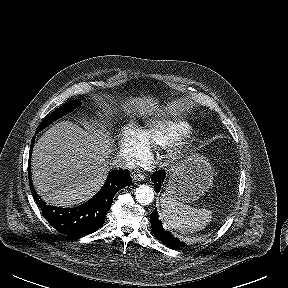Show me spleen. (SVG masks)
I'll use <instances>...</instances> for the list:
<instances>
[{"label": "spleen", "instance_id": "3e777b00", "mask_svg": "<svg viewBox=\"0 0 288 288\" xmlns=\"http://www.w3.org/2000/svg\"><path fill=\"white\" fill-rule=\"evenodd\" d=\"M161 216L169 227L187 234L204 229L211 221L212 212L207 209L193 208L174 198L163 196Z\"/></svg>", "mask_w": 288, "mask_h": 288}]
</instances>
